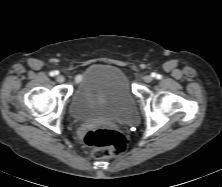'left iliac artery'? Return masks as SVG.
<instances>
[{
    "label": "left iliac artery",
    "mask_w": 222,
    "mask_h": 187,
    "mask_svg": "<svg viewBox=\"0 0 222 187\" xmlns=\"http://www.w3.org/2000/svg\"><path fill=\"white\" fill-rule=\"evenodd\" d=\"M154 76H155L156 78H158V79H159V78H161V76H160V75H154Z\"/></svg>",
    "instance_id": "obj_1"
}]
</instances>
